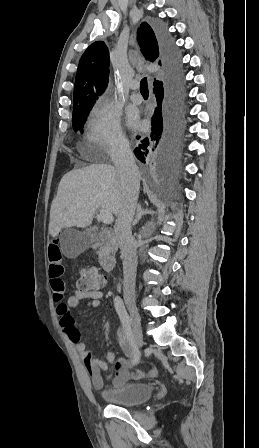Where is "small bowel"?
<instances>
[{
  "label": "small bowel",
  "mask_w": 259,
  "mask_h": 448,
  "mask_svg": "<svg viewBox=\"0 0 259 448\" xmlns=\"http://www.w3.org/2000/svg\"><path fill=\"white\" fill-rule=\"evenodd\" d=\"M47 259L49 265L50 285L53 291L54 301L57 302L56 313L59 318L60 327L67 337L75 344L77 352L82 357L85 369L90 377L91 383L96 389H104L108 383L113 387L125 384L134 379L152 378L157 370L151 367L147 370L130 371L128 358L133 357V348L122 328L117 330V339L124 358L115 359L112 351L106 353V359H96L87 350L85 343L81 340L79 330L74 326L70 309L85 304L89 308H97L100 305L102 294H86L76 289L73 294L63 302L65 294V283L62 279L64 265L62 263V252L58 244V238L52 237L47 245ZM109 364L114 365L115 374H108Z\"/></svg>",
  "instance_id": "obj_1"
}]
</instances>
